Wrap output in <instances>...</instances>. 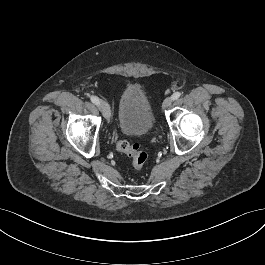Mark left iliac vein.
Listing matches in <instances>:
<instances>
[{
  "label": "left iliac vein",
  "instance_id": "obj_1",
  "mask_svg": "<svg viewBox=\"0 0 265 265\" xmlns=\"http://www.w3.org/2000/svg\"><path fill=\"white\" fill-rule=\"evenodd\" d=\"M171 104H172V98L167 97L162 104V109L165 110V109L169 108Z\"/></svg>",
  "mask_w": 265,
  "mask_h": 265
}]
</instances>
